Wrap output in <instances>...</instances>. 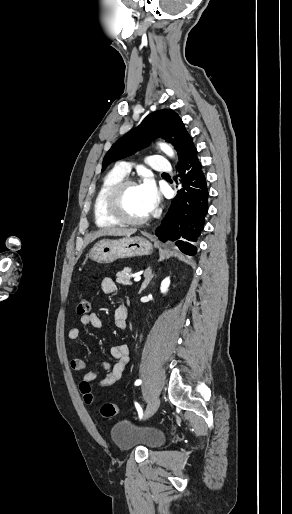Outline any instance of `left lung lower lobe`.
Masks as SVG:
<instances>
[{"label": "left lung lower lobe", "instance_id": "obj_1", "mask_svg": "<svg viewBox=\"0 0 292 514\" xmlns=\"http://www.w3.org/2000/svg\"><path fill=\"white\" fill-rule=\"evenodd\" d=\"M176 169L182 188L172 200L169 212L157 228L156 235L164 242L170 230H175L173 240L178 239L177 247L183 253L193 256L197 251L194 242L204 227L209 197L206 178L193 143L184 152Z\"/></svg>", "mask_w": 292, "mask_h": 514}]
</instances>
